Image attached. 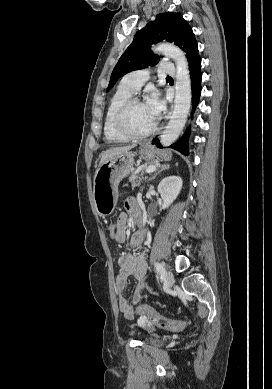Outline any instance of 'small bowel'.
I'll list each match as a JSON object with an SVG mask.
<instances>
[{"label":"small bowel","mask_w":272,"mask_h":389,"mask_svg":"<svg viewBox=\"0 0 272 389\" xmlns=\"http://www.w3.org/2000/svg\"><path fill=\"white\" fill-rule=\"evenodd\" d=\"M125 209L126 212L121 213L116 222L118 233L114 239L120 243L124 242L126 239V230L129 221L127 213H130L135 218L140 217V207L134 198H129L126 201ZM144 238L145 232L143 230H139L133 234L130 241L131 248L135 251H139ZM118 264L119 273L115 280L118 307L124 317L132 319L135 315V306L140 304L141 292L146 288L153 291L148 284L147 264L143 254L139 252L122 256L119 259ZM130 277L135 278L137 281V285L132 294V305L127 301L124 295Z\"/></svg>","instance_id":"1"}]
</instances>
